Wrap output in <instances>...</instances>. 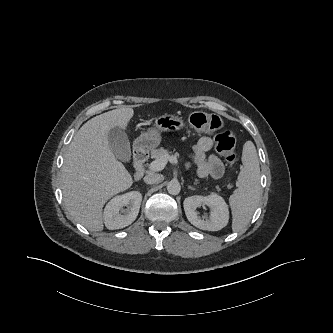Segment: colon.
Masks as SVG:
<instances>
[{"label": "colon", "instance_id": "obj_1", "mask_svg": "<svg viewBox=\"0 0 333 333\" xmlns=\"http://www.w3.org/2000/svg\"><path fill=\"white\" fill-rule=\"evenodd\" d=\"M191 126L202 132H215L223 127L221 119L217 115L204 112H195L190 115ZM215 149L232 165L236 161V139L232 131L224 130L219 132L214 139Z\"/></svg>", "mask_w": 333, "mask_h": 333}]
</instances>
